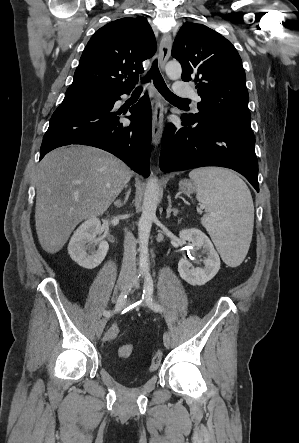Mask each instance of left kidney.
<instances>
[{"instance_id":"left-kidney-1","label":"left kidney","mask_w":299,"mask_h":443,"mask_svg":"<svg viewBox=\"0 0 299 443\" xmlns=\"http://www.w3.org/2000/svg\"><path fill=\"white\" fill-rule=\"evenodd\" d=\"M179 237L183 241L191 242L197 248H203L206 258L203 259V268H193L190 261L180 259L178 271L182 279L187 283L204 285L211 280L220 269V258L210 239L199 229H185L179 232Z\"/></svg>"}]
</instances>
